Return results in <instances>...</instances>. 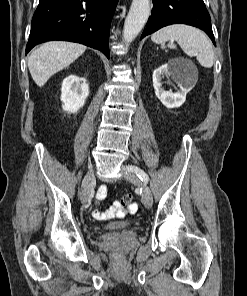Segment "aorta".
I'll return each mask as SVG.
<instances>
[{"instance_id": "762f6f07", "label": "aorta", "mask_w": 247, "mask_h": 296, "mask_svg": "<svg viewBox=\"0 0 247 296\" xmlns=\"http://www.w3.org/2000/svg\"><path fill=\"white\" fill-rule=\"evenodd\" d=\"M150 0H133L125 19L123 39L132 42L140 33L150 15Z\"/></svg>"}]
</instances>
